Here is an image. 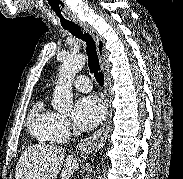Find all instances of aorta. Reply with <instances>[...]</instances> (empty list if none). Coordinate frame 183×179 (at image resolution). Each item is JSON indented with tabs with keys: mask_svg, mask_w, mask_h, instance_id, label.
<instances>
[{
	"mask_svg": "<svg viewBox=\"0 0 183 179\" xmlns=\"http://www.w3.org/2000/svg\"><path fill=\"white\" fill-rule=\"evenodd\" d=\"M86 58L83 54L68 56L61 65L56 83L52 106L60 112H70L73 109L72 82L83 68Z\"/></svg>",
	"mask_w": 183,
	"mask_h": 179,
	"instance_id": "aorta-1",
	"label": "aorta"
}]
</instances>
